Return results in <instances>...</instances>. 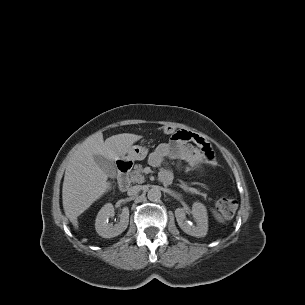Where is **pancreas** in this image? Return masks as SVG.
<instances>
[{
  "label": "pancreas",
  "mask_w": 305,
  "mask_h": 305,
  "mask_svg": "<svg viewBox=\"0 0 305 305\" xmlns=\"http://www.w3.org/2000/svg\"><path fill=\"white\" fill-rule=\"evenodd\" d=\"M143 167L141 164H136L134 166V170H132V172H130L129 174V180L131 183H144L145 178L143 176ZM182 188L186 191V192H191V193H196L199 194L200 192L197 189L188 187L187 185H183Z\"/></svg>",
  "instance_id": "pancreas-1"
}]
</instances>
